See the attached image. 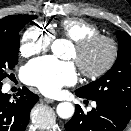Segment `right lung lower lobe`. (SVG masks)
<instances>
[{"instance_id":"98d812e1","label":"right lung lower lobe","mask_w":131,"mask_h":131,"mask_svg":"<svg viewBox=\"0 0 131 131\" xmlns=\"http://www.w3.org/2000/svg\"><path fill=\"white\" fill-rule=\"evenodd\" d=\"M0 86V131H25L30 111L38 101V95L23 87L18 98L10 101V95L3 94Z\"/></svg>"}]
</instances>
